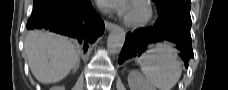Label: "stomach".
Here are the masks:
<instances>
[{"instance_id":"stomach-1","label":"stomach","mask_w":228,"mask_h":90,"mask_svg":"<svg viewBox=\"0 0 228 90\" xmlns=\"http://www.w3.org/2000/svg\"><path fill=\"white\" fill-rule=\"evenodd\" d=\"M152 50H153V48L150 47L149 50H147V51L138 59L139 63L142 61L143 57L146 56V55H148V54H150Z\"/></svg>"}]
</instances>
